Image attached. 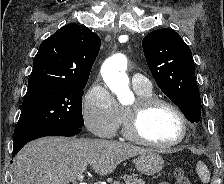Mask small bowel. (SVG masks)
<instances>
[{
	"instance_id": "c3829d8e",
	"label": "small bowel",
	"mask_w": 224,
	"mask_h": 184,
	"mask_svg": "<svg viewBox=\"0 0 224 184\" xmlns=\"http://www.w3.org/2000/svg\"><path fill=\"white\" fill-rule=\"evenodd\" d=\"M159 184H170V183H167V182H162V183H159Z\"/></svg>"
}]
</instances>
